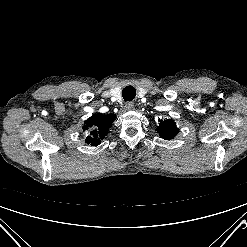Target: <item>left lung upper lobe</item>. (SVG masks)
Returning a JSON list of instances; mask_svg holds the SVG:
<instances>
[{
  "label": "left lung upper lobe",
  "mask_w": 247,
  "mask_h": 247,
  "mask_svg": "<svg viewBox=\"0 0 247 247\" xmlns=\"http://www.w3.org/2000/svg\"><path fill=\"white\" fill-rule=\"evenodd\" d=\"M157 132L159 133L160 137L164 139H172L178 133V128L176 127V123L171 120H160V124L157 127Z\"/></svg>",
  "instance_id": "5c2ea615"
}]
</instances>
